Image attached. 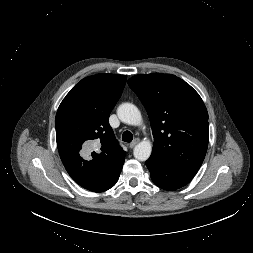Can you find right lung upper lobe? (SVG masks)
Masks as SVG:
<instances>
[{
    "label": "right lung upper lobe",
    "mask_w": 253,
    "mask_h": 253,
    "mask_svg": "<svg viewBox=\"0 0 253 253\" xmlns=\"http://www.w3.org/2000/svg\"><path fill=\"white\" fill-rule=\"evenodd\" d=\"M127 77L96 74L82 79L61 102L56 118V141L61 160L80 186L99 192L122 169L125 151L109 125V115ZM93 151L83 158L82 147Z\"/></svg>",
    "instance_id": "cb5924a9"
}]
</instances>
